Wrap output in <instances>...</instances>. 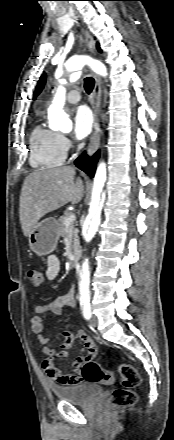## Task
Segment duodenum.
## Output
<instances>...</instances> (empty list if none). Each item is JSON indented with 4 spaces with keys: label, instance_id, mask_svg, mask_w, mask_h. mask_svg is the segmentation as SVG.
<instances>
[{
    "label": "duodenum",
    "instance_id": "1",
    "mask_svg": "<svg viewBox=\"0 0 174 440\" xmlns=\"http://www.w3.org/2000/svg\"><path fill=\"white\" fill-rule=\"evenodd\" d=\"M81 256H82V253H81L80 249H77L74 251L73 256H72V260H71V263L74 267L79 265L80 260H81Z\"/></svg>",
    "mask_w": 174,
    "mask_h": 440
}]
</instances>
